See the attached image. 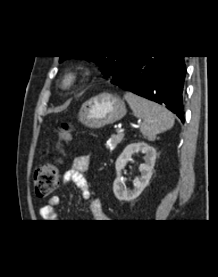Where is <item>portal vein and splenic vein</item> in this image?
<instances>
[{"label": "portal vein and splenic vein", "instance_id": "18ae733b", "mask_svg": "<svg viewBox=\"0 0 218 277\" xmlns=\"http://www.w3.org/2000/svg\"><path fill=\"white\" fill-rule=\"evenodd\" d=\"M124 131V129H118L117 132L118 133H122Z\"/></svg>", "mask_w": 218, "mask_h": 277}]
</instances>
